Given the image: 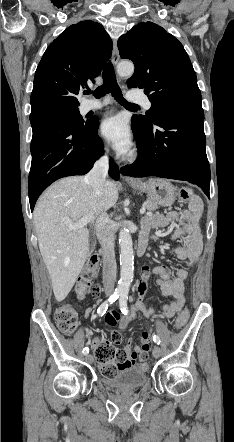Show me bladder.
Listing matches in <instances>:
<instances>
[{"mask_svg":"<svg viewBox=\"0 0 234 442\" xmlns=\"http://www.w3.org/2000/svg\"><path fill=\"white\" fill-rule=\"evenodd\" d=\"M147 379V369L133 365L118 369L114 375L103 377L102 381L111 389L132 390L145 385Z\"/></svg>","mask_w":234,"mask_h":442,"instance_id":"31cf9c89","label":"bladder"}]
</instances>
